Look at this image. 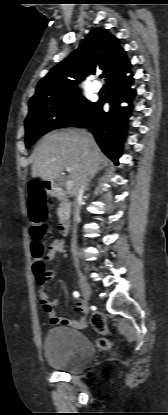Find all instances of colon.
<instances>
[{"label": "colon", "instance_id": "colon-1", "mask_svg": "<svg viewBox=\"0 0 168 415\" xmlns=\"http://www.w3.org/2000/svg\"><path fill=\"white\" fill-rule=\"evenodd\" d=\"M28 210L30 219V235L32 237L31 253L34 257L33 270L40 284H43L48 278L45 271L44 245L41 240L47 232L44 223L46 218V207L42 189L38 185H32L29 189ZM91 323L95 331L105 335L99 338L97 345L101 349H109L112 346L110 330L106 319L101 313H93Z\"/></svg>", "mask_w": 168, "mask_h": 415}]
</instances>
